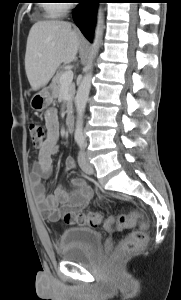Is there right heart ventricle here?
I'll list each match as a JSON object with an SVG mask.
<instances>
[{"instance_id":"e07e8e85","label":"right heart ventricle","mask_w":181,"mask_h":300,"mask_svg":"<svg viewBox=\"0 0 181 300\" xmlns=\"http://www.w3.org/2000/svg\"><path fill=\"white\" fill-rule=\"evenodd\" d=\"M44 9L48 17L56 18L62 16L65 13L66 6L62 3H57L56 1L54 3L45 4Z\"/></svg>"}]
</instances>
